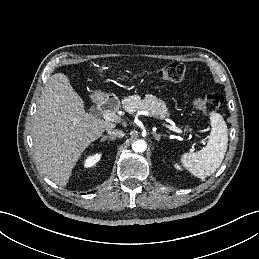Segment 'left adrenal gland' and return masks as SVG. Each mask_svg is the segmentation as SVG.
<instances>
[{"instance_id": "obj_1", "label": "left adrenal gland", "mask_w": 259, "mask_h": 259, "mask_svg": "<svg viewBox=\"0 0 259 259\" xmlns=\"http://www.w3.org/2000/svg\"><path fill=\"white\" fill-rule=\"evenodd\" d=\"M152 135L155 137V139H156L157 141H160L161 136H165V137H166L165 134L162 135V134H157V133H155V132H152Z\"/></svg>"}]
</instances>
